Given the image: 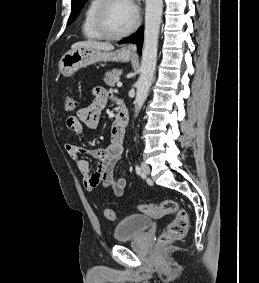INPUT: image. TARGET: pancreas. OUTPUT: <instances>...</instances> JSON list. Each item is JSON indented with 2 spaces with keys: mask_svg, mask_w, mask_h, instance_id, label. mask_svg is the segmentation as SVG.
Segmentation results:
<instances>
[{
  "mask_svg": "<svg viewBox=\"0 0 259 283\" xmlns=\"http://www.w3.org/2000/svg\"><path fill=\"white\" fill-rule=\"evenodd\" d=\"M121 75V70L119 69H113L112 71L106 72L104 76V82L113 87L116 82H118V78Z\"/></svg>",
  "mask_w": 259,
  "mask_h": 283,
  "instance_id": "obj_1",
  "label": "pancreas"
}]
</instances>
